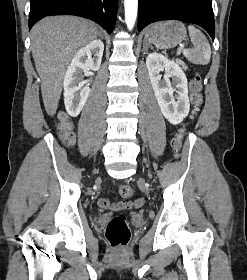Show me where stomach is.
Returning a JSON list of instances; mask_svg holds the SVG:
<instances>
[{
    "label": "stomach",
    "mask_w": 247,
    "mask_h": 280,
    "mask_svg": "<svg viewBox=\"0 0 247 280\" xmlns=\"http://www.w3.org/2000/svg\"><path fill=\"white\" fill-rule=\"evenodd\" d=\"M187 32L180 21H163L151 25L145 33V40L159 49H169L184 41Z\"/></svg>",
    "instance_id": "0dacf381"
}]
</instances>
